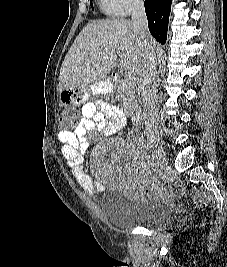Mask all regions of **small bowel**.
<instances>
[{"label": "small bowel", "instance_id": "small-bowel-1", "mask_svg": "<svg viewBox=\"0 0 227 267\" xmlns=\"http://www.w3.org/2000/svg\"><path fill=\"white\" fill-rule=\"evenodd\" d=\"M126 115L122 108L106 101L87 102L81 108V117L73 130H60L58 139L62 143V154L81 189L90 196L101 190V182L87 174L83 167V156L94 139V132L104 137L115 135L126 126ZM136 190L142 197L155 194L148 182H140Z\"/></svg>", "mask_w": 227, "mask_h": 267}]
</instances>
